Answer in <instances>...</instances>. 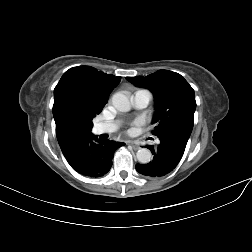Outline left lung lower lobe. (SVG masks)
Instances as JSON below:
<instances>
[{
  "instance_id": "1",
  "label": "left lung lower lobe",
  "mask_w": 252,
  "mask_h": 252,
  "mask_svg": "<svg viewBox=\"0 0 252 252\" xmlns=\"http://www.w3.org/2000/svg\"><path fill=\"white\" fill-rule=\"evenodd\" d=\"M157 147L147 145L153 154V160L147 164H136V170L147 177L165 176L180 162L189 137L179 133H169L158 137Z\"/></svg>"
}]
</instances>
